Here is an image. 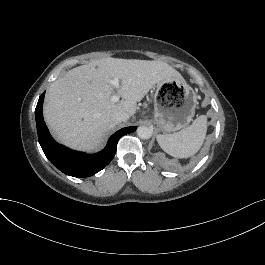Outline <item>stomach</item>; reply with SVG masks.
<instances>
[{"label": "stomach", "mask_w": 265, "mask_h": 265, "mask_svg": "<svg viewBox=\"0 0 265 265\" xmlns=\"http://www.w3.org/2000/svg\"><path fill=\"white\" fill-rule=\"evenodd\" d=\"M197 96L185 80L173 78L156 85L154 119L163 133L186 127L192 120Z\"/></svg>", "instance_id": "stomach-1"}]
</instances>
